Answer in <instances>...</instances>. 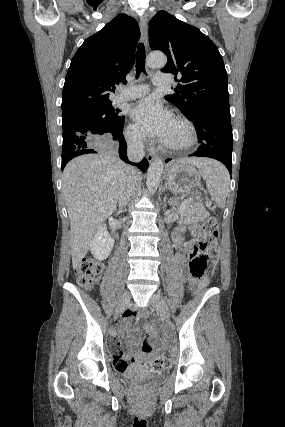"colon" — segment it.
<instances>
[{"label": "colon", "mask_w": 285, "mask_h": 427, "mask_svg": "<svg viewBox=\"0 0 285 427\" xmlns=\"http://www.w3.org/2000/svg\"><path fill=\"white\" fill-rule=\"evenodd\" d=\"M218 233L219 227L216 218H208L199 232L198 242L187 249L188 264L184 269V275L194 289L207 281L208 256L215 257L217 254ZM75 272L77 283L84 289H90L100 276L102 266L91 258H83L76 262ZM131 313L132 311L129 310L125 315ZM145 365L150 370H162L169 368L171 361L168 357L160 356L147 359ZM126 366L125 361L119 363L120 369H124Z\"/></svg>", "instance_id": "obj_1"}]
</instances>
